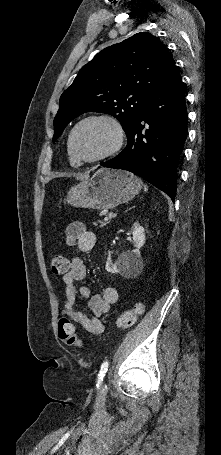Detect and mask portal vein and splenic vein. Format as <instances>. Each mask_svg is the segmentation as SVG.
Masks as SVG:
<instances>
[{
    "label": "portal vein and splenic vein",
    "mask_w": 221,
    "mask_h": 455,
    "mask_svg": "<svg viewBox=\"0 0 221 455\" xmlns=\"http://www.w3.org/2000/svg\"><path fill=\"white\" fill-rule=\"evenodd\" d=\"M111 217H112L111 215L105 216L104 221H105V222L109 221V219H110Z\"/></svg>",
    "instance_id": "obj_1"
}]
</instances>
